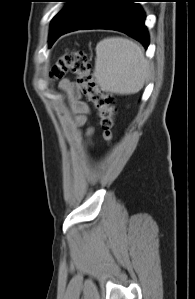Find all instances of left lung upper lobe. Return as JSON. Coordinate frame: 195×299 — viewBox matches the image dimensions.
I'll use <instances>...</instances> for the list:
<instances>
[{"mask_svg":"<svg viewBox=\"0 0 195 299\" xmlns=\"http://www.w3.org/2000/svg\"><path fill=\"white\" fill-rule=\"evenodd\" d=\"M66 5L58 12L51 23V36L59 29L69 25L80 13L88 0H64ZM49 38V39H50Z\"/></svg>","mask_w":195,"mask_h":299,"instance_id":"left-lung-upper-lobe-1","label":"left lung upper lobe"}]
</instances>
